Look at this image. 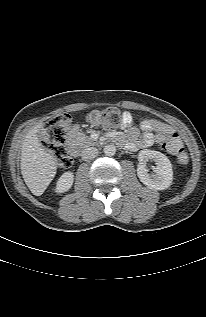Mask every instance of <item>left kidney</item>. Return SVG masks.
Segmentation results:
<instances>
[{
    "instance_id": "obj_1",
    "label": "left kidney",
    "mask_w": 206,
    "mask_h": 317,
    "mask_svg": "<svg viewBox=\"0 0 206 317\" xmlns=\"http://www.w3.org/2000/svg\"><path fill=\"white\" fill-rule=\"evenodd\" d=\"M151 159L155 162V174L150 175L146 168V161ZM139 164L137 175L140 181L150 189L164 190L168 188L173 181V170L170 160L161 152L154 150H142L138 155Z\"/></svg>"
}]
</instances>
